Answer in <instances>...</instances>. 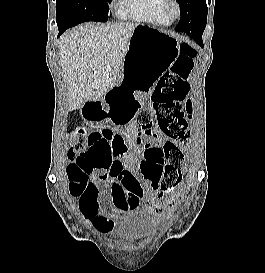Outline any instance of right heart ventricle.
Instances as JSON below:
<instances>
[{
	"mask_svg": "<svg viewBox=\"0 0 265 273\" xmlns=\"http://www.w3.org/2000/svg\"><path fill=\"white\" fill-rule=\"evenodd\" d=\"M164 0H122L118 13L122 17L147 22L156 26L170 24L163 13Z\"/></svg>",
	"mask_w": 265,
	"mask_h": 273,
	"instance_id": "right-heart-ventricle-1",
	"label": "right heart ventricle"
}]
</instances>
